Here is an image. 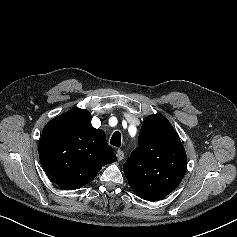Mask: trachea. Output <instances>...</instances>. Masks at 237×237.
<instances>
[{"label": "trachea", "mask_w": 237, "mask_h": 237, "mask_svg": "<svg viewBox=\"0 0 237 237\" xmlns=\"http://www.w3.org/2000/svg\"><path fill=\"white\" fill-rule=\"evenodd\" d=\"M110 144L115 147H119L121 145V134L119 131L114 132L111 137Z\"/></svg>", "instance_id": "3493384b"}]
</instances>
